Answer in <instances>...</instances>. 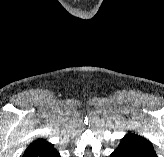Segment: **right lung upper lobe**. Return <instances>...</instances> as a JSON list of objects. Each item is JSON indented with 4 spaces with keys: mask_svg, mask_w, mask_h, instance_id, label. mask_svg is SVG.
Instances as JSON below:
<instances>
[{
    "mask_svg": "<svg viewBox=\"0 0 164 157\" xmlns=\"http://www.w3.org/2000/svg\"><path fill=\"white\" fill-rule=\"evenodd\" d=\"M39 141H42V139H41V140H37V141L33 142L32 144H30V145H29V147L33 146L34 144L38 143ZM29 147H28V148H29Z\"/></svg>",
    "mask_w": 164,
    "mask_h": 157,
    "instance_id": "right-lung-upper-lobe-1",
    "label": "right lung upper lobe"
}]
</instances>
